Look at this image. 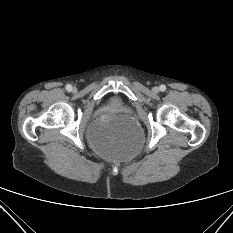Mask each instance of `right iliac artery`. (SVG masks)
<instances>
[{
  "label": "right iliac artery",
  "mask_w": 233,
  "mask_h": 233,
  "mask_svg": "<svg viewBox=\"0 0 233 233\" xmlns=\"http://www.w3.org/2000/svg\"><path fill=\"white\" fill-rule=\"evenodd\" d=\"M66 89H67L68 91H71L72 86H71L70 84H67V85H66Z\"/></svg>",
  "instance_id": "82829eb1"
}]
</instances>
